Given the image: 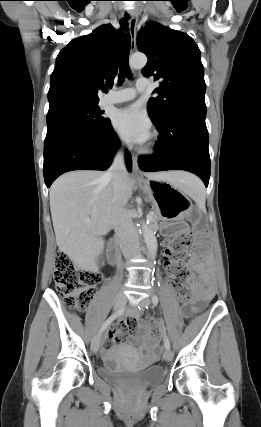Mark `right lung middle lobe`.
<instances>
[{"mask_svg": "<svg viewBox=\"0 0 261 427\" xmlns=\"http://www.w3.org/2000/svg\"><path fill=\"white\" fill-rule=\"evenodd\" d=\"M95 105L69 104L49 109L47 127L57 124H76L85 128L99 129L110 124L109 118H104Z\"/></svg>", "mask_w": 261, "mask_h": 427, "instance_id": "dd1d6c3e", "label": "right lung middle lobe"}]
</instances>
